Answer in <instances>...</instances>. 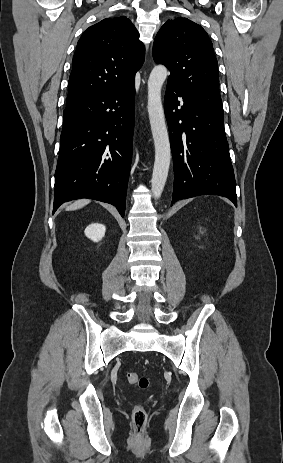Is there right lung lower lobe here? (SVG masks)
<instances>
[{
  "label": "right lung lower lobe",
  "mask_w": 283,
  "mask_h": 463,
  "mask_svg": "<svg viewBox=\"0 0 283 463\" xmlns=\"http://www.w3.org/2000/svg\"><path fill=\"white\" fill-rule=\"evenodd\" d=\"M134 100L135 81L66 107L53 213L66 201L91 198L116 206L124 217Z\"/></svg>",
  "instance_id": "1"
}]
</instances>
